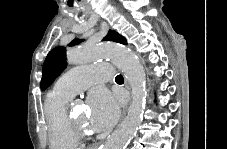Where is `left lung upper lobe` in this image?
<instances>
[{
	"label": "left lung upper lobe",
	"instance_id": "left-lung-upper-lobe-1",
	"mask_svg": "<svg viewBox=\"0 0 227 149\" xmlns=\"http://www.w3.org/2000/svg\"><path fill=\"white\" fill-rule=\"evenodd\" d=\"M83 40L75 39L69 45H76ZM103 41H115L118 43L126 44V39L113 30H109L108 34L103 38ZM66 53L64 47H57L49 52L47 55L42 69L41 90H45L52 84L54 79L66 67Z\"/></svg>",
	"mask_w": 227,
	"mask_h": 149
}]
</instances>
